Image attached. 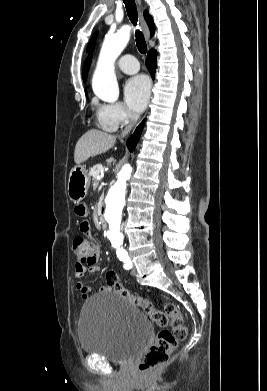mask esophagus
I'll use <instances>...</instances> for the list:
<instances>
[{"mask_svg":"<svg viewBox=\"0 0 267 391\" xmlns=\"http://www.w3.org/2000/svg\"><path fill=\"white\" fill-rule=\"evenodd\" d=\"M136 2L139 7V16H140L141 27H142V30L145 34V37L148 39L150 36V32H149L148 26L144 20V17H143V5H142L141 0H136Z\"/></svg>","mask_w":267,"mask_h":391,"instance_id":"34e87169","label":"esophagus"}]
</instances>
